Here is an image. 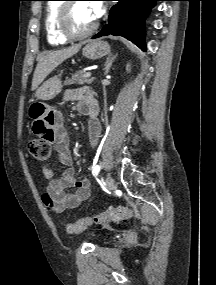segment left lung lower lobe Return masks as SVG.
<instances>
[{
	"label": "left lung lower lobe",
	"instance_id": "0a47b994",
	"mask_svg": "<svg viewBox=\"0 0 216 285\" xmlns=\"http://www.w3.org/2000/svg\"><path fill=\"white\" fill-rule=\"evenodd\" d=\"M112 6L108 23L92 38L106 35H119L134 42L143 51L146 50L144 43V19L150 8L160 0H116Z\"/></svg>",
	"mask_w": 216,
	"mask_h": 285
}]
</instances>
